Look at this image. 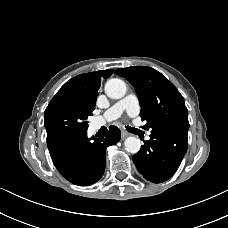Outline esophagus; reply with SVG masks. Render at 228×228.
Here are the masks:
<instances>
[{
	"instance_id": "1",
	"label": "esophagus",
	"mask_w": 228,
	"mask_h": 228,
	"mask_svg": "<svg viewBox=\"0 0 228 228\" xmlns=\"http://www.w3.org/2000/svg\"><path fill=\"white\" fill-rule=\"evenodd\" d=\"M128 136H129V133H127V132L124 131V130L121 131V138H122V139H125V138L128 137Z\"/></svg>"
}]
</instances>
